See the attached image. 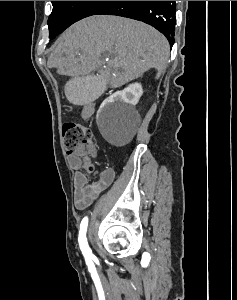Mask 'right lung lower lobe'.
Returning a JSON list of instances; mask_svg holds the SVG:
<instances>
[{"instance_id":"right-lung-lower-lobe-1","label":"right lung lower lobe","mask_w":237,"mask_h":300,"mask_svg":"<svg viewBox=\"0 0 237 300\" xmlns=\"http://www.w3.org/2000/svg\"><path fill=\"white\" fill-rule=\"evenodd\" d=\"M175 1H106L93 15H117L143 21L174 44Z\"/></svg>"}]
</instances>
